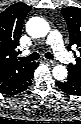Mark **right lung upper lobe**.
I'll return each mask as SVG.
<instances>
[{"mask_svg": "<svg viewBox=\"0 0 81 124\" xmlns=\"http://www.w3.org/2000/svg\"><path fill=\"white\" fill-rule=\"evenodd\" d=\"M31 7L15 3L0 13V88L19 78L33 63L17 59L24 18Z\"/></svg>", "mask_w": 81, "mask_h": 124, "instance_id": "right-lung-upper-lobe-1", "label": "right lung upper lobe"}]
</instances>
